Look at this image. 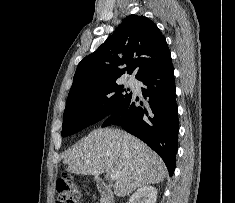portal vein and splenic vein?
I'll return each mask as SVG.
<instances>
[{"label": "portal vein and splenic vein", "instance_id": "18ae733b", "mask_svg": "<svg viewBox=\"0 0 235 203\" xmlns=\"http://www.w3.org/2000/svg\"><path fill=\"white\" fill-rule=\"evenodd\" d=\"M108 175L111 180H117L120 177L118 172H108Z\"/></svg>", "mask_w": 235, "mask_h": 203}]
</instances>
